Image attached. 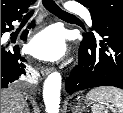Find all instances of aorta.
<instances>
[{
  "label": "aorta",
  "mask_w": 123,
  "mask_h": 113,
  "mask_svg": "<svg viewBox=\"0 0 123 113\" xmlns=\"http://www.w3.org/2000/svg\"><path fill=\"white\" fill-rule=\"evenodd\" d=\"M61 83L59 72L51 73L44 82L43 100L47 113H59Z\"/></svg>",
  "instance_id": "762f6f07"
}]
</instances>
